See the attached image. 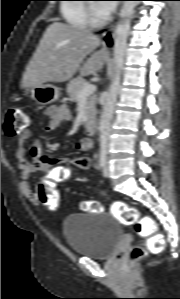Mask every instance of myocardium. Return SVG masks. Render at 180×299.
<instances>
[{"label":"myocardium","mask_w":180,"mask_h":299,"mask_svg":"<svg viewBox=\"0 0 180 299\" xmlns=\"http://www.w3.org/2000/svg\"><path fill=\"white\" fill-rule=\"evenodd\" d=\"M89 22L93 27H100L104 25L108 18L107 16H99L96 12L95 4L88 5Z\"/></svg>","instance_id":"f54148a6"}]
</instances>
